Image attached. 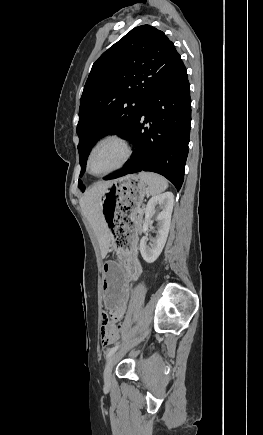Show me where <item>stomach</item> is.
I'll list each match as a JSON object with an SVG mask.
<instances>
[{"label": "stomach", "instance_id": "obj_1", "mask_svg": "<svg viewBox=\"0 0 263 435\" xmlns=\"http://www.w3.org/2000/svg\"><path fill=\"white\" fill-rule=\"evenodd\" d=\"M147 192L146 184L136 175L113 180L101 195L99 205L103 214L104 232L110 233L111 246L119 259L105 260L103 270V310H118L119 305H129L130 288L141 272L132 269L130 249L136 246L138 224L136 209Z\"/></svg>", "mask_w": 263, "mask_h": 435}]
</instances>
